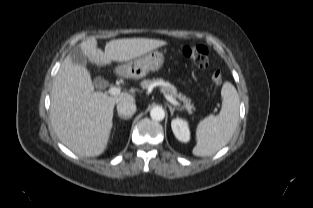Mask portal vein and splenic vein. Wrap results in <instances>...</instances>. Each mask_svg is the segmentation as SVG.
Masks as SVG:
<instances>
[{
	"label": "portal vein and splenic vein",
	"instance_id": "portal-vein-and-splenic-vein-1",
	"mask_svg": "<svg viewBox=\"0 0 313 208\" xmlns=\"http://www.w3.org/2000/svg\"><path fill=\"white\" fill-rule=\"evenodd\" d=\"M108 93L112 96H116V95H119L121 93V89L119 87H111L108 90ZM164 96L171 104H173L175 106L180 105V103L176 99H174L172 96H170L168 94H165Z\"/></svg>",
	"mask_w": 313,
	"mask_h": 208
}]
</instances>
